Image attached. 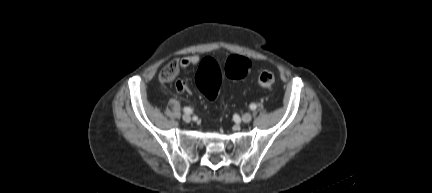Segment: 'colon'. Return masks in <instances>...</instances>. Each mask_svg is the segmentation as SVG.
Segmentation results:
<instances>
[{
	"label": "colon",
	"mask_w": 432,
	"mask_h": 193,
	"mask_svg": "<svg viewBox=\"0 0 432 193\" xmlns=\"http://www.w3.org/2000/svg\"><path fill=\"white\" fill-rule=\"evenodd\" d=\"M251 61L241 56H229L219 63L212 58L202 61L196 74V85L199 90L210 100L217 96L222 75L228 79H242L251 72ZM178 73V63L169 62L160 72V79L170 82ZM258 83L265 88H271L275 83V75L271 71H263L258 76Z\"/></svg>",
	"instance_id": "obj_1"
}]
</instances>
